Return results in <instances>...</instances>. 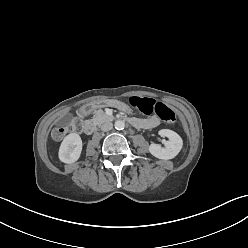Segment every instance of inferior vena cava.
<instances>
[{"label": "inferior vena cava", "instance_id": "inferior-vena-cava-1", "mask_svg": "<svg viewBox=\"0 0 248 248\" xmlns=\"http://www.w3.org/2000/svg\"><path fill=\"white\" fill-rule=\"evenodd\" d=\"M113 128V124L111 122H106L101 126V130L104 132L110 131Z\"/></svg>", "mask_w": 248, "mask_h": 248}]
</instances>
